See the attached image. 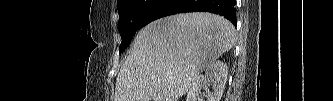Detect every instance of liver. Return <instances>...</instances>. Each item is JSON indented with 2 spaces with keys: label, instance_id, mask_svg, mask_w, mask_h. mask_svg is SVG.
Here are the masks:
<instances>
[{
  "label": "liver",
  "instance_id": "6515ba94",
  "mask_svg": "<svg viewBox=\"0 0 333 101\" xmlns=\"http://www.w3.org/2000/svg\"><path fill=\"white\" fill-rule=\"evenodd\" d=\"M235 28L211 13L158 19L137 34L116 79L114 101H178L234 45Z\"/></svg>",
  "mask_w": 333,
  "mask_h": 101
}]
</instances>
